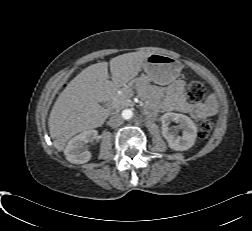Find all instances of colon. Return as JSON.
I'll return each mask as SVG.
<instances>
[{
    "label": "colon",
    "mask_w": 252,
    "mask_h": 231,
    "mask_svg": "<svg viewBox=\"0 0 252 231\" xmlns=\"http://www.w3.org/2000/svg\"><path fill=\"white\" fill-rule=\"evenodd\" d=\"M188 100L191 103H199L203 100L204 94L201 87L197 84H191L188 87ZM210 130V123L208 121H201L199 123V131L202 136L206 135Z\"/></svg>",
    "instance_id": "1"
}]
</instances>
